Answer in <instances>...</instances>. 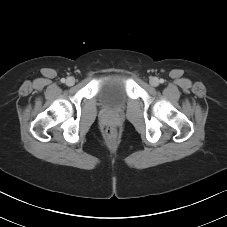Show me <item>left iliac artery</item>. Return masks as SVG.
Listing matches in <instances>:
<instances>
[{
  "label": "left iliac artery",
  "instance_id": "obj_1",
  "mask_svg": "<svg viewBox=\"0 0 227 227\" xmlns=\"http://www.w3.org/2000/svg\"><path fill=\"white\" fill-rule=\"evenodd\" d=\"M159 82H160V83H164V80H163V79H160Z\"/></svg>",
  "mask_w": 227,
  "mask_h": 227
}]
</instances>
